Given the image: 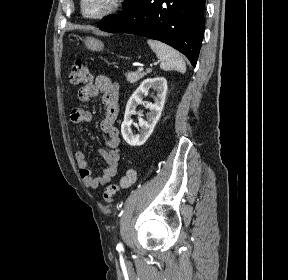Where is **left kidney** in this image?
<instances>
[{
	"mask_svg": "<svg viewBox=\"0 0 288 280\" xmlns=\"http://www.w3.org/2000/svg\"><path fill=\"white\" fill-rule=\"evenodd\" d=\"M152 89L156 92V97L154 98V103H146V108H149L150 112L147 113L146 120L140 118L139 133H133L132 131V115L135 114V109L138 104L142 102L143 96ZM167 92V80L164 77H155L145 79L136 91L131 95L127 102L124 120L121 125V133L124 140L131 146H141L152 134L155 125L157 124L162 109L164 107L165 98Z\"/></svg>",
	"mask_w": 288,
	"mask_h": 280,
	"instance_id": "obj_1",
	"label": "left kidney"
}]
</instances>
